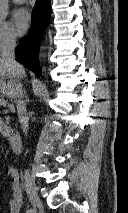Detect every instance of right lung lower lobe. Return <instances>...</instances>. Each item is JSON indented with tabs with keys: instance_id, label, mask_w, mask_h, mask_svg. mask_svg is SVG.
Instances as JSON below:
<instances>
[{
	"instance_id": "obj_1",
	"label": "right lung lower lobe",
	"mask_w": 128,
	"mask_h": 213,
	"mask_svg": "<svg viewBox=\"0 0 128 213\" xmlns=\"http://www.w3.org/2000/svg\"><path fill=\"white\" fill-rule=\"evenodd\" d=\"M51 16L50 0H36L33 9V23L30 35L25 38L17 47L15 55L17 60L25 65L28 69L41 75L40 65L38 63L37 52L38 45Z\"/></svg>"
}]
</instances>
